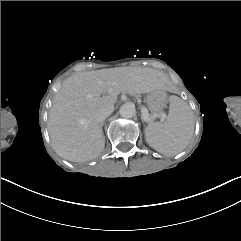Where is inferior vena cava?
Instances as JSON below:
<instances>
[{
  "mask_svg": "<svg viewBox=\"0 0 241 241\" xmlns=\"http://www.w3.org/2000/svg\"><path fill=\"white\" fill-rule=\"evenodd\" d=\"M114 111V106H110L101 110L95 117L98 124H102L104 120Z\"/></svg>",
  "mask_w": 241,
  "mask_h": 241,
  "instance_id": "inferior-vena-cava-1",
  "label": "inferior vena cava"
}]
</instances>
